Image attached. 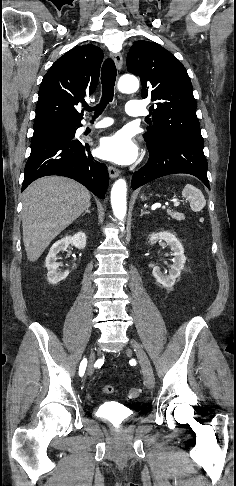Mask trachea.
I'll use <instances>...</instances> for the list:
<instances>
[{
	"label": "trachea",
	"mask_w": 236,
	"mask_h": 486,
	"mask_svg": "<svg viewBox=\"0 0 236 486\" xmlns=\"http://www.w3.org/2000/svg\"><path fill=\"white\" fill-rule=\"evenodd\" d=\"M117 76V70L112 59L108 58L104 61L101 71L102 82V98L95 107L85 106L87 111H94V118H97L109 102H112L114 96V86Z\"/></svg>",
	"instance_id": "3493384b"
}]
</instances>
